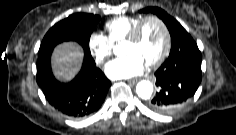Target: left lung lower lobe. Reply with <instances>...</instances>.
<instances>
[{"label":"left lung lower lobe","instance_id":"1","mask_svg":"<svg viewBox=\"0 0 236 135\" xmlns=\"http://www.w3.org/2000/svg\"><path fill=\"white\" fill-rule=\"evenodd\" d=\"M201 60L196 43L169 55L155 73L158 92L149 107L155 112L168 114L188 102L202 79Z\"/></svg>","mask_w":236,"mask_h":135}]
</instances>
